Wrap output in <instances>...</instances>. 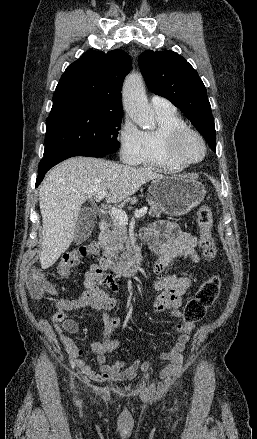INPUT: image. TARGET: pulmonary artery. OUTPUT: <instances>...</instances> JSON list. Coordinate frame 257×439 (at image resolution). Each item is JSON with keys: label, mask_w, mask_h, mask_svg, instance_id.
<instances>
[{"label": "pulmonary artery", "mask_w": 257, "mask_h": 439, "mask_svg": "<svg viewBox=\"0 0 257 439\" xmlns=\"http://www.w3.org/2000/svg\"><path fill=\"white\" fill-rule=\"evenodd\" d=\"M151 105L155 111H170L174 110L173 104L167 99L154 95L151 98Z\"/></svg>", "instance_id": "pulmonary-artery-1"}]
</instances>
